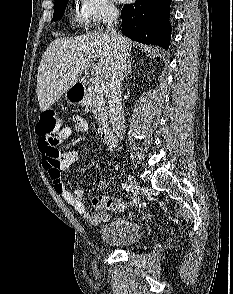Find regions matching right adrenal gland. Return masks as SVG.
Listing matches in <instances>:
<instances>
[{"label": "right adrenal gland", "mask_w": 233, "mask_h": 294, "mask_svg": "<svg viewBox=\"0 0 233 294\" xmlns=\"http://www.w3.org/2000/svg\"><path fill=\"white\" fill-rule=\"evenodd\" d=\"M131 61H132V58H130L128 60V67H127V71L125 73V78L131 73Z\"/></svg>", "instance_id": "1"}]
</instances>
